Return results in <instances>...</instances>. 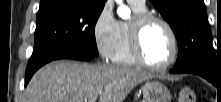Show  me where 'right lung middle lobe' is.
<instances>
[{"instance_id":"obj_1","label":"right lung middle lobe","mask_w":221,"mask_h":102,"mask_svg":"<svg viewBox=\"0 0 221 102\" xmlns=\"http://www.w3.org/2000/svg\"><path fill=\"white\" fill-rule=\"evenodd\" d=\"M103 8L82 0L40 7L36 17L34 49L27 69L68 50L98 56L94 28Z\"/></svg>"}]
</instances>
